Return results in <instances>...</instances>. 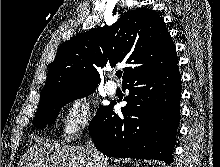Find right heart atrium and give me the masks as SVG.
Wrapping results in <instances>:
<instances>
[{
    "label": "right heart atrium",
    "instance_id": "obj_1",
    "mask_svg": "<svg viewBox=\"0 0 220 167\" xmlns=\"http://www.w3.org/2000/svg\"><path fill=\"white\" fill-rule=\"evenodd\" d=\"M91 124V107L86 95H76L67 104L61 129L66 140L76 138L80 132L87 130Z\"/></svg>",
    "mask_w": 220,
    "mask_h": 167
}]
</instances>
